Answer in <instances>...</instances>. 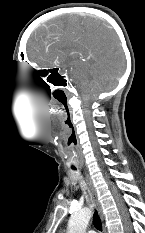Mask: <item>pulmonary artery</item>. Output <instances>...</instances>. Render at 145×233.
<instances>
[{
  "mask_svg": "<svg viewBox=\"0 0 145 233\" xmlns=\"http://www.w3.org/2000/svg\"><path fill=\"white\" fill-rule=\"evenodd\" d=\"M88 233H96L95 231H93V230H90V231H88Z\"/></svg>",
  "mask_w": 145,
  "mask_h": 233,
  "instance_id": "e3ab8cb5",
  "label": "pulmonary artery"
}]
</instances>
